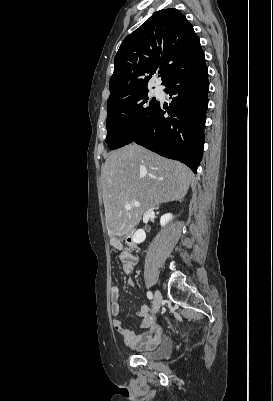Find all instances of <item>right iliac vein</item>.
Returning <instances> with one entry per match:
<instances>
[{
  "label": "right iliac vein",
  "instance_id": "right-iliac-vein-1",
  "mask_svg": "<svg viewBox=\"0 0 273 401\" xmlns=\"http://www.w3.org/2000/svg\"><path fill=\"white\" fill-rule=\"evenodd\" d=\"M161 299H162L161 292L159 290H157L154 295V301H153V307H152L153 314H156L158 312L160 305H161Z\"/></svg>",
  "mask_w": 273,
  "mask_h": 401
}]
</instances>
